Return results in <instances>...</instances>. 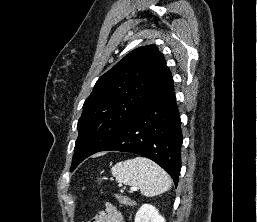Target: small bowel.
Listing matches in <instances>:
<instances>
[{"instance_id":"c3829d8e","label":"small bowel","mask_w":257,"mask_h":222,"mask_svg":"<svg viewBox=\"0 0 257 222\" xmlns=\"http://www.w3.org/2000/svg\"><path fill=\"white\" fill-rule=\"evenodd\" d=\"M86 222H125L124 217L112 204L107 203L104 210L98 212L91 220Z\"/></svg>"}]
</instances>
